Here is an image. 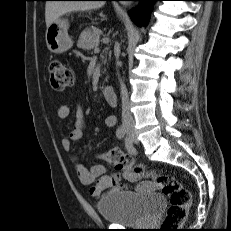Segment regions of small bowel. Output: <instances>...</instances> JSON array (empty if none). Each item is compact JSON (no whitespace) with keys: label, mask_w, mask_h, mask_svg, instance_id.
Here are the masks:
<instances>
[{"label":"small bowel","mask_w":231,"mask_h":231,"mask_svg":"<svg viewBox=\"0 0 231 231\" xmlns=\"http://www.w3.org/2000/svg\"><path fill=\"white\" fill-rule=\"evenodd\" d=\"M70 115V109L65 104H60L57 107V117L60 121L66 120ZM105 126L112 128L116 124V118L113 115H108L104 120ZM85 127V113L81 106L76 109V119L73 128L69 132L68 137L61 139V146L65 152L69 154V159L74 165L75 171L80 182L90 186L89 193L92 197L98 198L103 193H112L123 189L119 183L120 176L117 173L107 174V168L111 164L106 161L104 164H96L91 167H86L79 162L76 154L72 152V143L79 141L83 135ZM134 191L139 193H151L158 189V185L152 181H141L136 183Z\"/></svg>","instance_id":"c3829d8e"}]
</instances>
